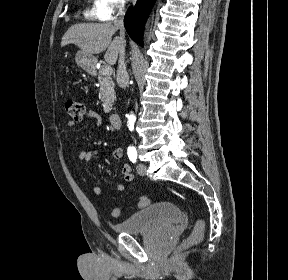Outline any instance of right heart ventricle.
I'll use <instances>...</instances> for the list:
<instances>
[{
  "label": "right heart ventricle",
  "instance_id": "right-heart-ventricle-1",
  "mask_svg": "<svg viewBox=\"0 0 288 280\" xmlns=\"http://www.w3.org/2000/svg\"><path fill=\"white\" fill-rule=\"evenodd\" d=\"M95 5H96L95 1L88 0V5L83 11V14H84L85 17H87V18H96V16H95Z\"/></svg>",
  "mask_w": 288,
  "mask_h": 280
}]
</instances>
